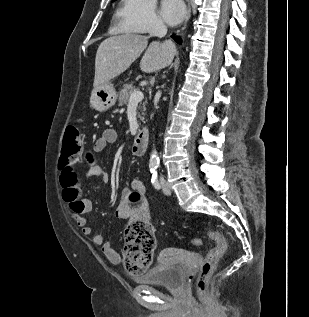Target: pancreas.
<instances>
[{
    "label": "pancreas",
    "instance_id": "cf45deb5",
    "mask_svg": "<svg viewBox=\"0 0 309 317\" xmlns=\"http://www.w3.org/2000/svg\"><path fill=\"white\" fill-rule=\"evenodd\" d=\"M135 90L133 83H128V84H124L123 88L120 90L119 92V97H118V101H119V105L123 106L126 105L129 102V98L130 95L132 94V92ZM146 102L143 103L142 107H140V109H142L143 111H145L146 107ZM140 120H144V116H139Z\"/></svg>",
    "mask_w": 309,
    "mask_h": 317
}]
</instances>
